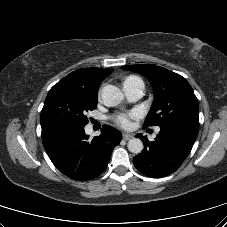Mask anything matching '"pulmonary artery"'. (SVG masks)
<instances>
[{
	"label": "pulmonary artery",
	"instance_id": "pulmonary-artery-1",
	"mask_svg": "<svg viewBox=\"0 0 227 227\" xmlns=\"http://www.w3.org/2000/svg\"><path fill=\"white\" fill-rule=\"evenodd\" d=\"M144 88V83L140 79L127 81L123 84L125 95L131 101L141 98L144 94ZM158 131L159 129H157V132Z\"/></svg>",
	"mask_w": 227,
	"mask_h": 227
}]
</instances>
